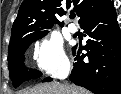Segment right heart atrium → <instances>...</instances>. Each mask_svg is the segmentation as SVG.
<instances>
[{"mask_svg": "<svg viewBox=\"0 0 121 94\" xmlns=\"http://www.w3.org/2000/svg\"><path fill=\"white\" fill-rule=\"evenodd\" d=\"M35 65L46 74L63 77L70 69L61 39L51 34L41 40L34 49Z\"/></svg>", "mask_w": 121, "mask_h": 94, "instance_id": "d8ad5b80", "label": "right heart atrium"}]
</instances>
